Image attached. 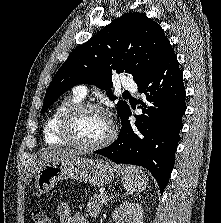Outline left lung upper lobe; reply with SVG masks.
<instances>
[{
    "label": "left lung upper lobe",
    "mask_w": 221,
    "mask_h": 223,
    "mask_svg": "<svg viewBox=\"0 0 221 223\" xmlns=\"http://www.w3.org/2000/svg\"><path fill=\"white\" fill-rule=\"evenodd\" d=\"M169 46L161 26L144 13L131 12L114 19L70 53L47 88L41 113L75 85L111 89L114 73H130L139 84L157 67ZM107 96L116 99L111 92ZM128 108L125 101H118L120 117Z\"/></svg>",
    "instance_id": "5c2ea615"
}]
</instances>
